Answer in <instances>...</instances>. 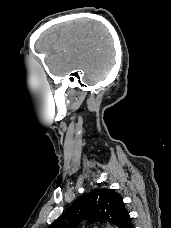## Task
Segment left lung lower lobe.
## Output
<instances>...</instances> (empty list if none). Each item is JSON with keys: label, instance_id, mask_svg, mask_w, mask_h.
Segmentation results:
<instances>
[{"label": "left lung lower lobe", "instance_id": "0a47b994", "mask_svg": "<svg viewBox=\"0 0 171 228\" xmlns=\"http://www.w3.org/2000/svg\"><path fill=\"white\" fill-rule=\"evenodd\" d=\"M125 228H133L131 221L129 220V222L127 223V225L125 226Z\"/></svg>", "mask_w": 171, "mask_h": 228}]
</instances>
